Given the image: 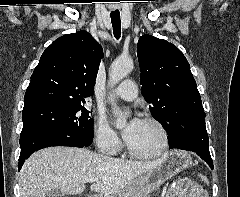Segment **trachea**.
Returning <instances> with one entry per match:
<instances>
[{"instance_id":"obj_1","label":"trachea","mask_w":240,"mask_h":197,"mask_svg":"<svg viewBox=\"0 0 240 197\" xmlns=\"http://www.w3.org/2000/svg\"><path fill=\"white\" fill-rule=\"evenodd\" d=\"M111 22L113 26V34L116 39L120 38L121 35V20H120V13H111Z\"/></svg>"}]
</instances>
